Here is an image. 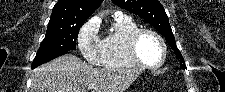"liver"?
I'll return each instance as SVG.
<instances>
[{"label":"liver","instance_id":"6515ba94","mask_svg":"<svg viewBox=\"0 0 225 92\" xmlns=\"http://www.w3.org/2000/svg\"><path fill=\"white\" fill-rule=\"evenodd\" d=\"M137 69H96L79 57L66 54L37 67L31 92H124L140 75Z\"/></svg>","mask_w":225,"mask_h":92}]
</instances>
